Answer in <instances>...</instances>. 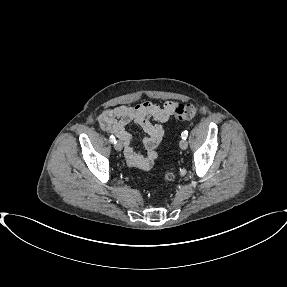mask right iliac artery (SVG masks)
<instances>
[{
  "instance_id": "obj_1",
  "label": "right iliac artery",
  "mask_w": 287,
  "mask_h": 287,
  "mask_svg": "<svg viewBox=\"0 0 287 287\" xmlns=\"http://www.w3.org/2000/svg\"><path fill=\"white\" fill-rule=\"evenodd\" d=\"M109 139L111 143H114V144L116 143V139L113 135H111Z\"/></svg>"
}]
</instances>
